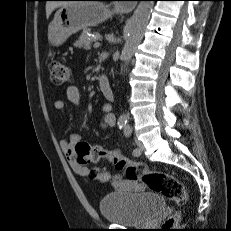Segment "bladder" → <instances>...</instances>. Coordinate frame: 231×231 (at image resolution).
<instances>
[{"label": "bladder", "mask_w": 231, "mask_h": 231, "mask_svg": "<svg viewBox=\"0 0 231 231\" xmlns=\"http://www.w3.org/2000/svg\"><path fill=\"white\" fill-rule=\"evenodd\" d=\"M166 207L158 193L113 192L99 201L102 217L123 226H141L155 220Z\"/></svg>", "instance_id": "31cf9c89"}]
</instances>
